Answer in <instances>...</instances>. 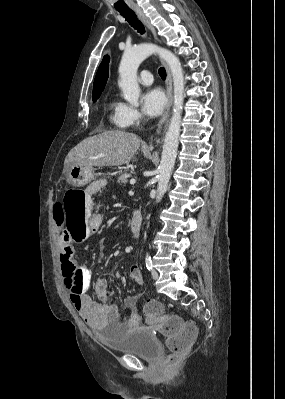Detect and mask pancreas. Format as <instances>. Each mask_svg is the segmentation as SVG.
I'll use <instances>...</instances> for the list:
<instances>
[{
    "mask_svg": "<svg viewBox=\"0 0 285 399\" xmlns=\"http://www.w3.org/2000/svg\"><path fill=\"white\" fill-rule=\"evenodd\" d=\"M130 176H131V175H130L129 173L124 172V173H122V174L120 175L118 181L121 182V183H123V184H126V183L128 182V178H129Z\"/></svg>",
    "mask_w": 285,
    "mask_h": 399,
    "instance_id": "pancreas-1",
    "label": "pancreas"
}]
</instances>
